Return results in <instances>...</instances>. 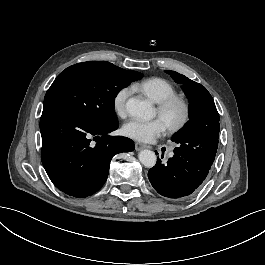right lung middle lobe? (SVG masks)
Returning <instances> with one entry per match:
<instances>
[{
    "label": "right lung middle lobe",
    "mask_w": 265,
    "mask_h": 265,
    "mask_svg": "<svg viewBox=\"0 0 265 265\" xmlns=\"http://www.w3.org/2000/svg\"><path fill=\"white\" fill-rule=\"evenodd\" d=\"M142 76L106 61L72 65L61 72L48 89L43 110L62 111L96 127L117 125L116 95Z\"/></svg>",
    "instance_id": "obj_1"
}]
</instances>
